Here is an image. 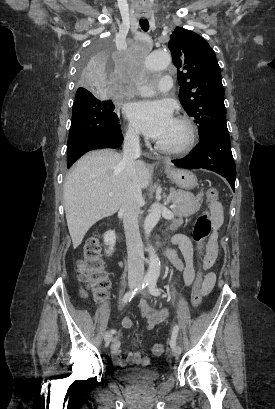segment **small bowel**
I'll return each instance as SVG.
<instances>
[{"label":"small bowel","mask_w":275,"mask_h":409,"mask_svg":"<svg viewBox=\"0 0 275 409\" xmlns=\"http://www.w3.org/2000/svg\"><path fill=\"white\" fill-rule=\"evenodd\" d=\"M211 212L213 231L206 245L205 253L202 259L201 267L203 270H209L216 260L217 236L223 222V211L219 203H216L211 207ZM172 242L178 246L184 261H182L178 254L172 249L167 250V257L171 264L182 273L184 285L189 287L193 284L195 279V269L193 265L194 251L192 243L190 239L183 234H176L172 238ZM215 280L216 277L214 273L210 272L206 275L204 280L206 294L212 290ZM137 310L143 318V328L148 330L153 329L156 325L163 322L168 316L166 309H156L144 300L138 302ZM121 324L123 328L134 327V322L128 317H124ZM110 350L114 363L120 367L136 363L146 366L150 363V360L147 357H140V354L136 352L129 353L126 358H122L119 337L113 340Z\"/></svg>","instance_id":"c3829d8e"}]
</instances>
